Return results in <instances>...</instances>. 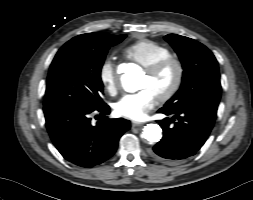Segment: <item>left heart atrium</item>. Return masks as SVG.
Returning <instances> with one entry per match:
<instances>
[{"label":"left heart atrium","mask_w":253,"mask_h":200,"mask_svg":"<svg viewBox=\"0 0 253 200\" xmlns=\"http://www.w3.org/2000/svg\"><path fill=\"white\" fill-rule=\"evenodd\" d=\"M157 96L152 90L145 88L138 92L123 96L114 106L117 115L133 120H143L153 109Z\"/></svg>","instance_id":"obj_1"}]
</instances>
